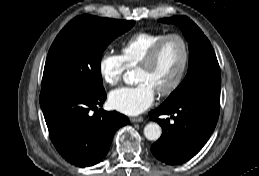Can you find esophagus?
Segmentation results:
<instances>
[{
    "label": "esophagus",
    "mask_w": 259,
    "mask_h": 176,
    "mask_svg": "<svg viewBox=\"0 0 259 176\" xmlns=\"http://www.w3.org/2000/svg\"><path fill=\"white\" fill-rule=\"evenodd\" d=\"M130 121L132 123H141V122H143V117H141V116H139V117H131Z\"/></svg>",
    "instance_id": "esophagus-1"
}]
</instances>
